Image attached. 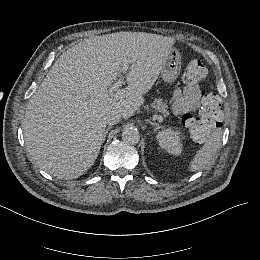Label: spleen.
Returning <instances> with one entry per match:
<instances>
[{
	"instance_id": "1",
	"label": "spleen",
	"mask_w": 260,
	"mask_h": 260,
	"mask_svg": "<svg viewBox=\"0 0 260 260\" xmlns=\"http://www.w3.org/2000/svg\"><path fill=\"white\" fill-rule=\"evenodd\" d=\"M223 133L222 127H215L211 130L209 138L189 161L187 167L189 172H198L207 168L219 149Z\"/></svg>"
}]
</instances>
